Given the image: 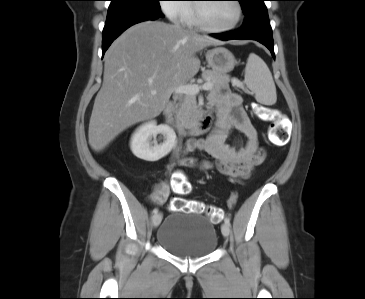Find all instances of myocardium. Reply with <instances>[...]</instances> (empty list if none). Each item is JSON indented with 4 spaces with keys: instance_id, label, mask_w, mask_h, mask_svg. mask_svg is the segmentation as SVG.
<instances>
[{
    "instance_id": "obj_1",
    "label": "myocardium",
    "mask_w": 365,
    "mask_h": 299,
    "mask_svg": "<svg viewBox=\"0 0 365 299\" xmlns=\"http://www.w3.org/2000/svg\"><path fill=\"white\" fill-rule=\"evenodd\" d=\"M233 2L235 3L236 8H237V18L232 25H230L228 27H223V28L210 26L205 21V18L203 16L201 3L194 4L193 5V14H194V22H195L196 26L201 28L202 30H205V31L211 32V33H226V32H230V31L234 30L235 28H237L239 26V24L242 21L243 7H242L240 0H233Z\"/></svg>"
}]
</instances>
